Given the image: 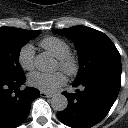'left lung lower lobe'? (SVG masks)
Listing matches in <instances>:
<instances>
[{
  "instance_id": "1",
  "label": "left lung lower lobe",
  "mask_w": 128,
  "mask_h": 128,
  "mask_svg": "<svg viewBox=\"0 0 128 128\" xmlns=\"http://www.w3.org/2000/svg\"><path fill=\"white\" fill-rule=\"evenodd\" d=\"M121 85V69L101 68L93 71L73 86H83L75 94L64 92L68 106L57 114L58 119L71 128H90L108 114Z\"/></svg>"
}]
</instances>
